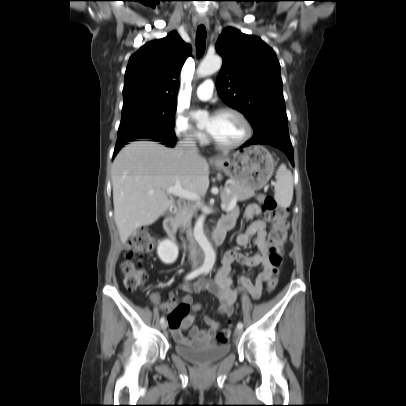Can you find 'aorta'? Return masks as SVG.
Here are the masks:
<instances>
[{
	"label": "aorta",
	"mask_w": 406,
	"mask_h": 406,
	"mask_svg": "<svg viewBox=\"0 0 406 406\" xmlns=\"http://www.w3.org/2000/svg\"><path fill=\"white\" fill-rule=\"evenodd\" d=\"M222 65L221 57L214 55V56H206L204 60L200 63L197 69V75L199 77H206L212 75L213 73L217 72ZM192 117L197 121L198 126H202L208 120V113L206 111H196L193 112ZM205 221V215H201L194 227V237L198 242L199 246L201 247L202 251L204 252V262L202 268L205 270H211L214 263H215V252L208 241L207 237L203 231V225Z\"/></svg>",
	"instance_id": "762f6f07"
}]
</instances>
